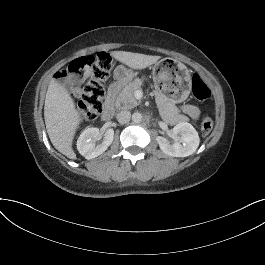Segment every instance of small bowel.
I'll return each instance as SVG.
<instances>
[{"label": "small bowel", "mask_w": 265, "mask_h": 265, "mask_svg": "<svg viewBox=\"0 0 265 265\" xmlns=\"http://www.w3.org/2000/svg\"><path fill=\"white\" fill-rule=\"evenodd\" d=\"M91 76V72L89 70H85L79 80L77 81L75 87L73 88V92L76 96H78L81 92V87L83 83ZM183 111L185 114L190 116L192 119H198L200 117V109L192 104H187L183 106Z\"/></svg>", "instance_id": "small-bowel-1"}]
</instances>
